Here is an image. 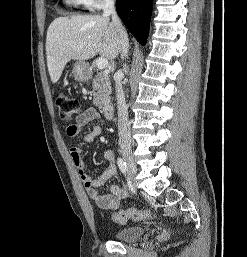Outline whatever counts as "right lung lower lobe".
<instances>
[{"label":"right lung lower lobe","mask_w":247,"mask_h":257,"mask_svg":"<svg viewBox=\"0 0 247 257\" xmlns=\"http://www.w3.org/2000/svg\"><path fill=\"white\" fill-rule=\"evenodd\" d=\"M153 0H117V13L128 30L145 45Z\"/></svg>","instance_id":"98d812e1"}]
</instances>
